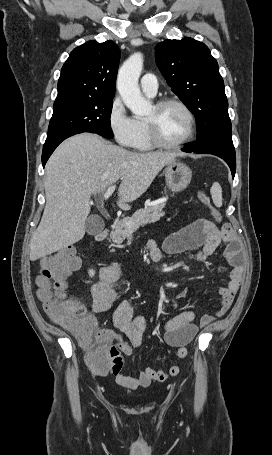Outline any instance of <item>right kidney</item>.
<instances>
[{
    "instance_id": "right-kidney-1",
    "label": "right kidney",
    "mask_w": 272,
    "mask_h": 455,
    "mask_svg": "<svg viewBox=\"0 0 272 455\" xmlns=\"http://www.w3.org/2000/svg\"><path fill=\"white\" fill-rule=\"evenodd\" d=\"M94 274H95V272H94L93 270H90V271H89V276L92 277V276H94Z\"/></svg>"
}]
</instances>
